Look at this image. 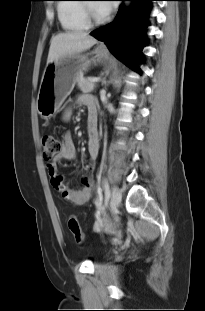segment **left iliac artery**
<instances>
[{
	"label": "left iliac artery",
	"mask_w": 205,
	"mask_h": 311,
	"mask_svg": "<svg viewBox=\"0 0 205 311\" xmlns=\"http://www.w3.org/2000/svg\"><path fill=\"white\" fill-rule=\"evenodd\" d=\"M104 189H105V206H106L107 203H108V200H109V198H110L109 185H108V183H107L106 181L104 182ZM96 204H97L98 206H101V204H102V198H101V196L99 197V201H97Z\"/></svg>",
	"instance_id": "1"
}]
</instances>
